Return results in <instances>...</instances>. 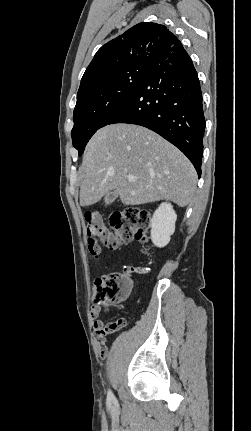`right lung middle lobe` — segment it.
Wrapping results in <instances>:
<instances>
[{"mask_svg": "<svg viewBox=\"0 0 251 431\" xmlns=\"http://www.w3.org/2000/svg\"><path fill=\"white\" fill-rule=\"evenodd\" d=\"M146 71L147 65H133L78 92L71 136L79 155L92 135L139 87Z\"/></svg>", "mask_w": 251, "mask_h": 431, "instance_id": "1", "label": "right lung middle lobe"}]
</instances>
